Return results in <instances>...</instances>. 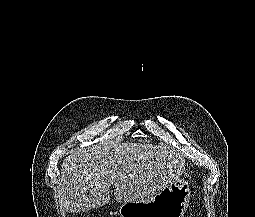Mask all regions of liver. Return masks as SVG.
<instances>
[{"mask_svg":"<svg viewBox=\"0 0 255 217\" xmlns=\"http://www.w3.org/2000/svg\"><path fill=\"white\" fill-rule=\"evenodd\" d=\"M185 159L174 150L151 144L110 143L76 150L63 161L58 199L66 212L80 213L110 202L151 199L177 181Z\"/></svg>","mask_w":255,"mask_h":217,"instance_id":"liver-1","label":"liver"}]
</instances>
